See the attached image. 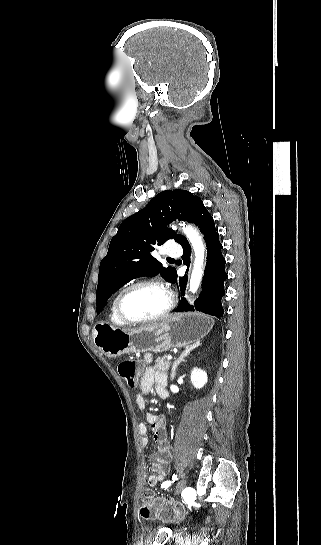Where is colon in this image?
Here are the masks:
<instances>
[{"label":"colon","mask_w":321,"mask_h":545,"mask_svg":"<svg viewBox=\"0 0 321 545\" xmlns=\"http://www.w3.org/2000/svg\"><path fill=\"white\" fill-rule=\"evenodd\" d=\"M137 364L132 360L121 361L118 365V373L130 388L136 386ZM141 516L146 519H161L172 521L181 514V509L158 497L152 490H146L141 499Z\"/></svg>","instance_id":"5ec220e1"}]
</instances>
